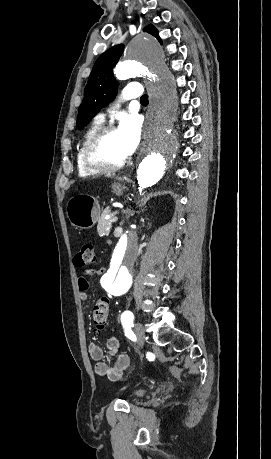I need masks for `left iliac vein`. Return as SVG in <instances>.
<instances>
[{
	"label": "left iliac vein",
	"instance_id": "obj_1",
	"mask_svg": "<svg viewBox=\"0 0 271 459\" xmlns=\"http://www.w3.org/2000/svg\"><path fill=\"white\" fill-rule=\"evenodd\" d=\"M134 332L136 334L137 341H138L137 351H141L142 345L145 341V332H144L143 325L140 323H136L134 327Z\"/></svg>",
	"mask_w": 271,
	"mask_h": 459
}]
</instances>
